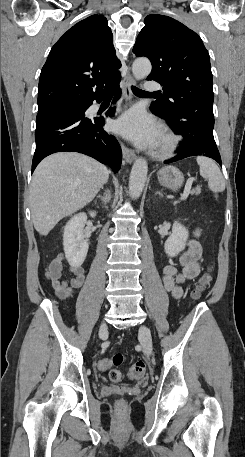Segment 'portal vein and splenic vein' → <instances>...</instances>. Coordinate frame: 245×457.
<instances>
[{"label": "portal vein and splenic vein", "instance_id": "18ae733b", "mask_svg": "<svg viewBox=\"0 0 245 457\" xmlns=\"http://www.w3.org/2000/svg\"><path fill=\"white\" fill-rule=\"evenodd\" d=\"M195 183H196V178H194V176H190V178H188V180L186 182L185 189L183 191V194H181L180 200H184V198H187V196L191 190V187H194Z\"/></svg>", "mask_w": 245, "mask_h": 457}]
</instances>
